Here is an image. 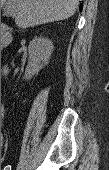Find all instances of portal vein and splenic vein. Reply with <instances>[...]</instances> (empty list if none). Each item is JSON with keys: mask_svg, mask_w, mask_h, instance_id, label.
Segmentation results:
<instances>
[{"mask_svg": "<svg viewBox=\"0 0 109 170\" xmlns=\"http://www.w3.org/2000/svg\"><path fill=\"white\" fill-rule=\"evenodd\" d=\"M3 2L6 1V0H2ZM6 13L11 16V17H14L15 16V9H13V7L11 6H8L7 9H6Z\"/></svg>", "mask_w": 109, "mask_h": 170, "instance_id": "1", "label": "portal vein and splenic vein"}]
</instances>
